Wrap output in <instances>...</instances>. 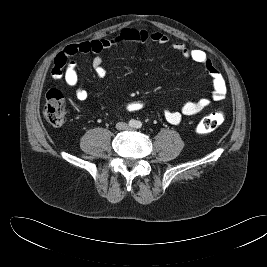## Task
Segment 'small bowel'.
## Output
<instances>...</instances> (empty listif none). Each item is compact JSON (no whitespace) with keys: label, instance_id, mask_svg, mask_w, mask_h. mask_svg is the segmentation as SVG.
I'll list each match as a JSON object with an SVG mask.
<instances>
[{"label":"small bowel","instance_id":"c3829d8e","mask_svg":"<svg viewBox=\"0 0 267 267\" xmlns=\"http://www.w3.org/2000/svg\"><path fill=\"white\" fill-rule=\"evenodd\" d=\"M152 41L160 45L169 43V38L159 31H148L146 29L124 28L115 36L101 38L91 41H84L67 46L60 52L54 61L52 77L75 89V96L79 101L88 98V92L76 70V63L73 58L78 54H93L92 68L95 74L102 78L106 70L102 64V52L113 45L123 42H146ZM173 49L186 59L204 66L212 78L213 92L209 97H202L194 101H187L181 104L179 109H165L164 116L172 125H179L184 116L197 115L203 112L213 101H221L226 97L227 85L222 74L213 65L211 59L201 49H189L184 43L176 41L172 44Z\"/></svg>","mask_w":267,"mask_h":267}]
</instances>
